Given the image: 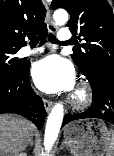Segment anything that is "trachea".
<instances>
[{
  "instance_id": "obj_1",
  "label": "trachea",
  "mask_w": 114,
  "mask_h": 156,
  "mask_svg": "<svg viewBox=\"0 0 114 156\" xmlns=\"http://www.w3.org/2000/svg\"><path fill=\"white\" fill-rule=\"evenodd\" d=\"M28 38L30 40V44L32 45H36L38 42H39V39L38 37L35 35V34H29L28 35ZM48 40L51 42V43H63V42H60L53 34H49L48 36Z\"/></svg>"
}]
</instances>
